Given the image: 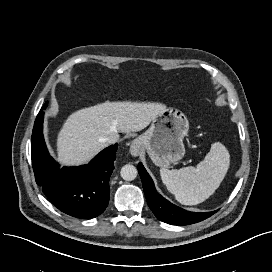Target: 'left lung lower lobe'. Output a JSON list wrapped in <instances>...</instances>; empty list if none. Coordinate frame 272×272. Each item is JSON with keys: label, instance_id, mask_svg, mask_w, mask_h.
<instances>
[{"label": "left lung lower lobe", "instance_id": "0a47b994", "mask_svg": "<svg viewBox=\"0 0 272 272\" xmlns=\"http://www.w3.org/2000/svg\"><path fill=\"white\" fill-rule=\"evenodd\" d=\"M138 172L147 203L158 220L172 225H189L205 220L216 212H189L175 206L156 191L154 183L142 163L138 164Z\"/></svg>", "mask_w": 272, "mask_h": 272}]
</instances>
